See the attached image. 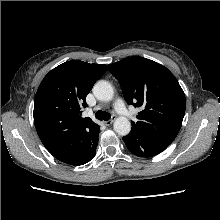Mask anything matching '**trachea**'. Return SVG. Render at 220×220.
<instances>
[{
  "instance_id": "1",
  "label": "trachea",
  "mask_w": 220,
  "mask_h": 220,
  "mask_svg": "<svg viewBox=\"0 0 220 220\" xmlns=\"http://www.w3.org/2000/svg\"><path fill=\"white\" fill-rule=\"evenodd\" d=\"M95 117L98 119V120H104V121H107L111 118V115L107 112H104V111H97L95 113Z\"/></svg>"
}]
</instances>
